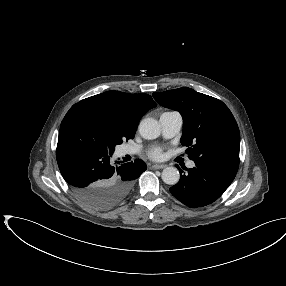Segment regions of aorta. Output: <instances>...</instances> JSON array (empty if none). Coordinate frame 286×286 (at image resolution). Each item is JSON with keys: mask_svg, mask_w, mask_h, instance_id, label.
<instances>
[{"mask_svg": "<svg viewBox=\"0 0 286 286\" xmlns=\"http://www.w3.org/2000/svg\"><path fill=\"white\" fill-rule=\"evenodd\" d=\"M139 133L144 139L152 140L160 136L161 129L158 122L154 119H145L139 125ZM180 179V174L175 167H166L162 171V180L168 185H175Z\"/></svg>", "mask_w": 286, "mask_h": 286, "instance_id": "obj_1", "label": "aorta"}]
</instances>
